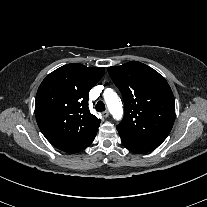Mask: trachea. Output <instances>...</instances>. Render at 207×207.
<instances>
[{
    "label": "trachea",
    "instance_id": "obj_1",
    "mask_svg": "<svg viewBox=\"0 0 207 207\" xmlns=\"http://www.w3.org/2000/svg\"><path fill=\"white\" fill-rule=\"evenodd\" d=\"M96 111L103 112L105 111V104L102 101H99L95 107Z\"/></svg>",
    "mask_w": 207,
    "mask_h": 207
}]
</instances>
